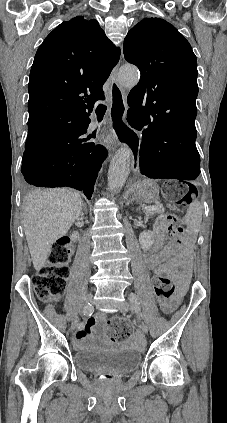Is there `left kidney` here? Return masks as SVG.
<instances>
[{
  "label": "left kidney",
  "mask_w": 227,
  "mask_h": 423,
  "mask_svg": "<svg viewBox=\"0 0 227 423\" xmlns=\"http://www.w3.org/2000/svg\"><path fill=\"white\" fill-rule=\"evenodd\" d=\"M139 241L142 249H149L155 241L154 231H141Z\"/></svg>",
  "instance_id": "left-kidney-1"
}]
</instances>
